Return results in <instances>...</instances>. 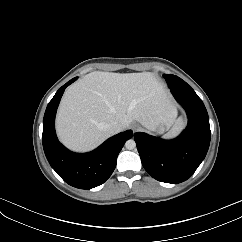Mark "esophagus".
Listing matches in <instances>:
<instances>
[{"label":"esophagus","instance_id":"1","mask_svg":"<svg viewBox=\"0 0 242 242\" xmlns=\"http://www.w3.org/2000/svg\"><path fill=\"white\" fill-rule=\"evenodd\" d=\"M132 129H133V131H137V127L136 126L132 127Z\"/></svg>","mask_w":242,"mask_h":242}]
</instances>
